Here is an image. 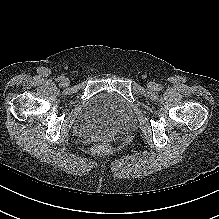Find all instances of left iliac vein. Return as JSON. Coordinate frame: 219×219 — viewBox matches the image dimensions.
Returning <instances> with one entry per match:
<instances>
[{"label": "left iliac vein", "instance_id": "obj_1", "mask_svg": "<svg viewBox=\"0 0 219 219\" xmlns=\"http://www.w3.org/2000/svg\"><path fill=\"white\" fill-rule=\"evenodd\" d=\"M148 88H149V90H151V91H155V90H157V85H156V83H154V82H149V83H148Z\"/></svg>", "mask_w": 219, "mask_h": 219}]
</instances>
